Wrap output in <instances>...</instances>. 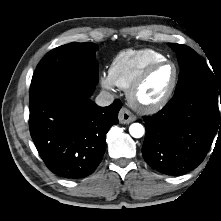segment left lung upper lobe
I'll return each instance as SVG.
<instances>
[{"label": "left lung upper lobe", "mask_w": 221, "mask_h": 221, "mask_svg": "<svg viewBox=\"0 0 221 221\" xmlns=\"http://www.w3.org/2000/svg\"><path fill=\"white\" fill-rule=\"evenodd\" d=\"M176 52L180 65V74L174 94L187 90H200L221 98V80L215 77L203 63L199 55L190 47L182 44L169 43Z\"/></svg>", "instance_id": "1"}]
</instances>
